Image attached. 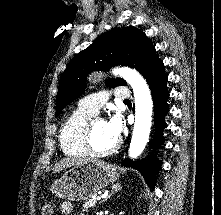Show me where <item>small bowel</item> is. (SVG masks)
<instances>
[{
  "label": "small bowel",
  "mask_w": 221,
  "mask_h": 215,
  "mask_svg": "<svg viewBox=\"0 0 221 215\" xmlns=\"http://www.w3.org/2000/svg\"><path fill=\"white\" fill-rule=\"evenodd\" d=\"M73 210L72 204L69 202H64L61 204V211L64 214H71Z\"/></svg>",
  "instance_id": "small-bowel-1"
}]
</instances>
